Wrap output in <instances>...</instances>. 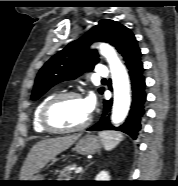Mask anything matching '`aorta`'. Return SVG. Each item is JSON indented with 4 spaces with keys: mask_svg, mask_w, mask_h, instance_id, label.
Listing matches in <instances>:
<instances>
[{
    "mask_svg": "<svg viewBox=\"0 0 178 186\" xmlns=\"http://www.w3.org/2000/svg\"><path fill=\"white\" fill-rule=\"evenodd\" d=\"M101 54L107 59L114 89L112 123L119 124L127 116L130 107V85L127 71L119 60L115 50L108 44L99 45Z\"/></svg>",
    "mask_w": 178,
    "mask_h": 186,
    "instance_id": "762f6f07",
    "label": "aorta"
}]
</instances>
